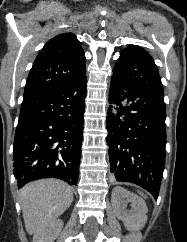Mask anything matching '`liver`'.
Masks as SVG:
<instances>
[{"label":"liver","mask_w":187,"mask_h":242,"mask_svg":"<svg viewBox=\"0 0 187 242\" xmlns=\"http://www.w3.org/2000/svg\"><path fill=\"white\" fill-rule=\"evenodd\" d=\"M26 231L36 234L56 220L73 201L72 188L56 179L28 183L20 191Z\"/></svg>","instance_id":"1"}]
</instances>
